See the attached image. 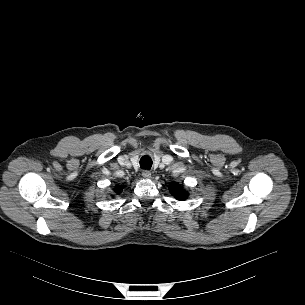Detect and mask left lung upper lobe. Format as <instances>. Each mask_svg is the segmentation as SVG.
I'll use <instances>...</instances> for the list:
<instances>
[{"instance_id": "obj_1", "label": "left lung upper lobe", "mask_w": 305, "mask_h": 305, "mask_svg": "<svg viewBox=\"0 0 305 305\" xmlns=\"http://www.w3.org/2000/svg\"><path fill=\"white\" fill-rule=\"evenodd\" d=\"M169 190L178 200H185L188 197V193L178 183H171Z\"/></svg>"}]
</instances>
